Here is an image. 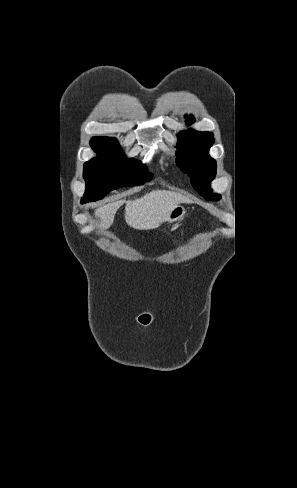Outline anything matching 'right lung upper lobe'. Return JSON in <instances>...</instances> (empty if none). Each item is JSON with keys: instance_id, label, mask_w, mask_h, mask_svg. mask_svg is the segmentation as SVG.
Instances as JSON below:
<instances>
[{"instance_id": "cb5924a9", "label": "right lung upper lobe", "mask_w": 297, "mask_h": 488, "mask_svg": "<svg viewBox=\"0 0 297 488\" xmlns=\"http://www.w3.org/2000/svg\"><path fill=\"white\" fill-rule=\"evenodd\" d=\"M105 139H114V138H108V137H94L91 142H90V145L92 146L93 150L94 151H97L98 149L101 148V142L102 140H105Z\"/></svg>"}]
</instances>
